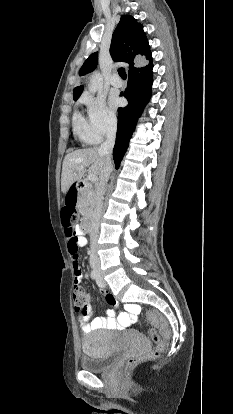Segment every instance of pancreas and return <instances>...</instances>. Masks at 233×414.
Segmentation results:
<instances>
[{
    "instance_id": "obj_1",
    "label": "pancreas",
    "mask_w": 233,
    "mask_h": 414,
    "mask_svg": "<svg viewBox=\"0 0 233 414\" xmlns=\"http://www.w3.org/2000/svg\"><path fill=\"white\" fill-rule=\"evenodd\" d=\"M96 200L95 187L88 185L83 193L79 197L78 209L82 216L87 217L90 215L91 210Z\"/></svg>"
}]
</instances>
